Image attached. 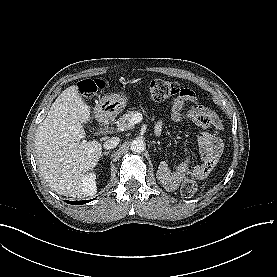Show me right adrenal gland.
I'll return each mask as SVG.
<instances>
[{
	"label": "right adrenal gland",
	"mask_w": 277,
	"mask_h": 277,
	"mask_svg": "<svg viewBox=\"0 0 277 277\" xmlns=\"http://www.w3.org/2000/svg\"><path fill=\"white\" fill-rule=\"evenodd\" d=\"M110 152H111L110 150H109V151H107V152H103V153L101 154V157H103L104 155H106V156H107V155H109V154H110Z\"/></svg>",
	"instance_id": "right-adrenal-gland-1"
}]
</instances>
